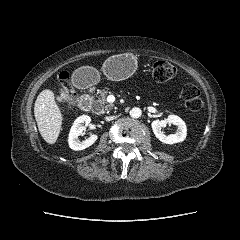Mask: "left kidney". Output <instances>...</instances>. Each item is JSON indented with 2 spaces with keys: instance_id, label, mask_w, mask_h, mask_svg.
Listing matches in <instances>:
<instances>
[{
  "instance_id": "5707ae66",
  "label": "left kidney",
  "mask_w": 240,
  "mask_h": 240,
  "mask_svg": "<svg viewBox=\"0 0 240 240\" xmlns=\"http://www.w3.org/2000/svg\"><path fill=\"white\" fill-rule=\"evenodd\" d=\"M166 124H173L177 127L175 134L165 135L162 128ZM155 136L163 143L175 144L182 142L186 138L187 128L185 122L177 115H169L165 120H155L151 124Z\"/></svg>"
}]
</instances>
